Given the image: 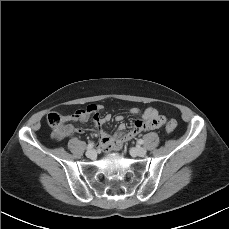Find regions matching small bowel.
<instances>
[{
  "label": "small bowel",
  "instance_id": "c3829d8e",
  "mask_svg": "<svg viewBox=\"0 0 229 229\" xmlns=\"http://www.w3.org/2000/svg\"><path fill=\"white\" fill-rule=\"evenodd\" d=\"M153 109H147L141 112L138 108H131L130 114L134 116H140L141 119H137L133 125V127L125 132L126 126L125 124L121 123L123 121L122 115H117L115 117V121L120 123L118 126V131L120 133L119 139H115L111 134H109L103 127L110 122L111 116L109 114L100 116L98 114H94L92 117V121L96 127L100 128V138L98 145L101 148H108L114 145V143L122 144L125 141H129L136 137L142 131H148L151 127L149 126V118H150V111ZM69 120L72 121H80V122H87L90 118V115L85 113L84 110H77L73 114L67 116ZM83 130L81 128H74L73 126H68L67 133H81Z\"/></svg>",
  "mask_w": 229,
  "mask_h": 229
}]
</instances>
